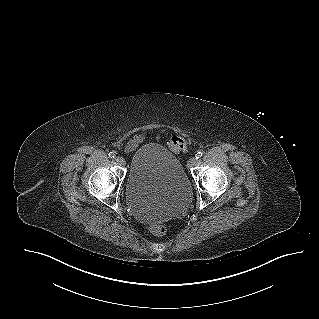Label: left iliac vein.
<instances>
[{
    "mask_svg": "<svg viewBox=\"0 0 319 319\" xmlns=\"http://www.w3.org/2000/svg\"><path fill=\"white\" fill-rule=\"evenodd\" d=\"M197 163V159L195 157H192L189 159L187 166L188 168L193 167Z\"/></svg>",
    "mask_w": 319,
    "mask_h": 319,
    "instance_id": "obj_1",
    "label": "left iliac vein"
}]
</instances>
